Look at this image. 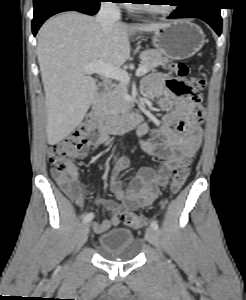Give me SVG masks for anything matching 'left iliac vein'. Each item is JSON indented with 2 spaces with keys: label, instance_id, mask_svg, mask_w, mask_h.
<instances>
[{
  "label": "left iliac vein",
  "instance_id": "obj_1",
  "mask_svg": "<svg viewBox=\"0 0 246 300\" xmlns=\"http://www.w3.org/2000/svg\"><path fill=\"white\" fill-rule=\"evenodd\" d=\"M146 238L152 245H154L160 251L159 235H158V232L154 228H152V227L147 228Z\"/></svg>",
  "mask_w": 246,
  "mask_h": 300
}]
</instances>
